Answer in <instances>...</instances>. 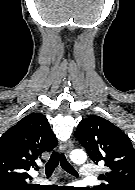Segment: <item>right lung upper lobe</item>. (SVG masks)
<instances>
[{"mask_svg":"<svg viewBox=\"0 0 135 190\" xmlns=\"http://www.w3.org/2000/svg\"><path fill=\"white\" fill-rule=\"evenodd\" d=\"M56 145L57 139L44 115L32 113L22 118L0 138V183L27 184L31 179L28 171L35 160Z\"/></svg>","mask_w":135,"mask_h":190,"instance_id":"1","label":"right lung upper lobe"}]
</instances>
